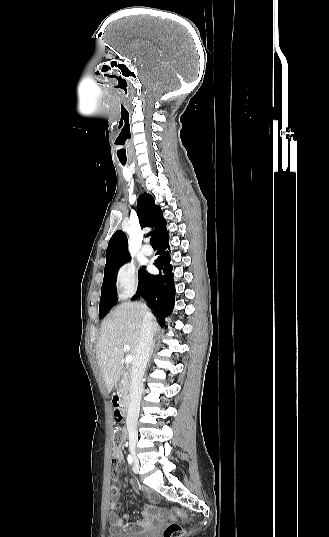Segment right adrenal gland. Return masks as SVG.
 Instances as JSON below:
<instances>
[{"mask_svg": "<svg viewBox=\"0 0 329 537\" xmlns=\"http://www.w3.org/2000/svg\"><path fill=\"white\" fill-rule=\"evenodd\" d=\"M153 348H154V345H153V347H152V350H151V354H150V356L152 355V352H153Z\"/></svg>", "mask_w": 329, "mask_h": 537, "instance_id": "2a0ac1e0", "label": "right adrenal gland"}]
</instances>
